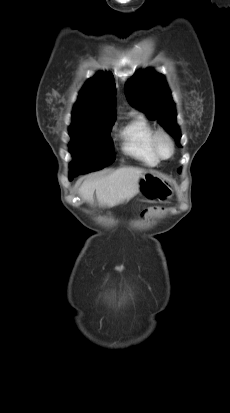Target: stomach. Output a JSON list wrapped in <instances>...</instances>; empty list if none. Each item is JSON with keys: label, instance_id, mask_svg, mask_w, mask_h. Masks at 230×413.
Returning a JSON list of instances; mask_svg holds the SVG:
<instances>
[{"label": "stomach", "instance_id": "stomach-1", "mask_svg": "<svg viewBox=\"0 0 230 413\" xmlns=\"http://www.w3.org/2000/svg\"><path fill=\"white\" fill-rule=\"evenodd\" d=\"M139 195L153 203L168 200L172 196L171 184L164 175L156 171H145L138 181Z\"/></svg>", "mask_w": 230, "mask_h": 413}]
</instances>
